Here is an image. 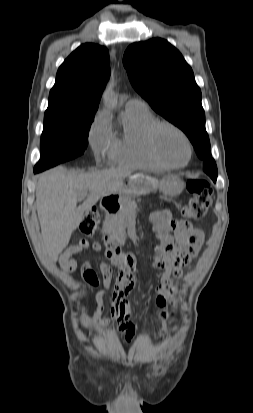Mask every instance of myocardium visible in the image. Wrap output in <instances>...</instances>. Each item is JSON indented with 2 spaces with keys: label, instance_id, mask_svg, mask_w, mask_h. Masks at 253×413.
<instances>
[{
  "label": "myocardium",
  "instance_id": "obj_1",
  "mask_svg": "<svg viewBox=\"0 0 253 413\" xmlns=\"http://www.w3.org/2000/svg\"><path fill=\"white\" fill-rule=\"evenodd\" d=\"M162 128H169V129L175 131L185 141L186 146H187V150H188V156H187L186 161L183 164H173V163L167 161L159 153L158 148H157V144H156V136ZM145 141H146L147 149H148L150 155L152 156V158L155 161H157L159 164H161L162 166H164L166 168H171V169L184 168L191 161L193 148H192V143H191L189 137L187 136V134L180 127H178L177 125H175L171 122H168V121H155L153 124H151L148 127V129L146 131V135H145Z\"/></svg>",
  "mask_w": 253,
  "mask_h": 413
}]
</instances>
